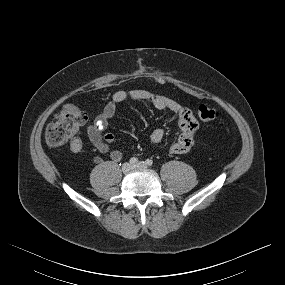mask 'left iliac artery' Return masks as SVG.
<instances>
[{
    "instance_id": "1",
    "label": "left iliac artery",
    "mask_w": 285,
    "mask_h": 285,
    "mask_svg": "<svg viewBox=\"0 0 285 285\" xmlns=\"http://www.w3.org/2000/svg\"><path fill=\"white\" fill-rule=\"evenodd\" d=\"M145 164L148 166H152L153 161L151 159H147V160H145Z\"/></svg>"
}]
</instances>
